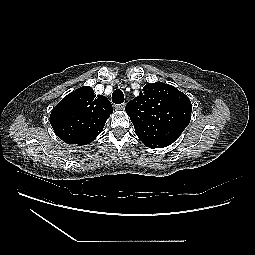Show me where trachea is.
Instances as JSON below:
<instances>
[{
	"instance_id": "1",
	"label": "trachea",
	"mask_w": 255,
	"mask_h": 255,
	"mask_svg": "<svg viewBox=\"0 0 255 255\" xmlns=\"http://www.w3.org/2000/svg\"><path fill=\"white\" fill-rule=\"evenodd\" d=\"M112 101L115 104H121L124 102V94L121 90L117 89L112 94Z\"/></svg>"
}]
</instances>
